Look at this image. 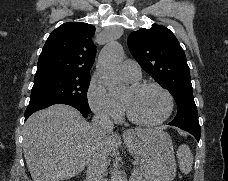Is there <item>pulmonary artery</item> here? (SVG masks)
Returning <instances> with one entry per match:
<instances>
[{
    "instance_id": "1",
    "label": "pulmonary artery",
    "mask_w": 228,
    "mask_h": 181,
    "mask_svg": "<svg viewBox=\"0 0 228 181\" xmlns=\"http://www.w3.org/2000/svg\"><path fill=\"white\" fill-rule=\"evenodd\" d=\"M138 68L139 62H128V65H125L124 75L132 80H137L140 78V73L136 71Z\"/></svg>"
}]
</instances>
